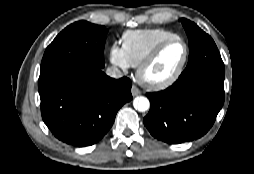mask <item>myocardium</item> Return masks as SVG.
<instances>
[{"instance_id":"myocardium-1","label":"myocardium","mask_w":254,"mask_h":174,"mask_svg":"<svg viewBox=\"0 0 254 174\" xmlns=\"http://www.w3.org/2000/svg\"><path fill=\"white\" fill-rule=\"evenodd\" d=\"M174 42H181L184 46V49H185L184 57H183L180 65L176 69V71L169 77L162 79V80L147 79L145 77L146 70L155 62V60L158 58V56L160 55L162 50L166 46H168ZM188 58H189V46L183 38L177 36V37H173L170 39H166V40L158 43L149 52V54L142 60V62L138 65L137 71H136V77H137L138 81L140 82V84H142L143 86H145L149 89H152V90L165 89V88L171 86L172 84H174L178 80V78L181 76V74L183 73L185 66L188 62Z\"/></svg>"}]
</instances>
